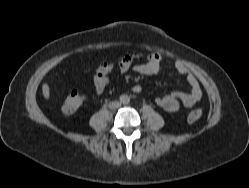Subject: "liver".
Segmentation results:
<instances>
[{
  "label": "liver",
  "mask_w": 249,
  "mask_h": 188,
  "mask_svg": "<svg viewBox=\"0 0 249 188\" xmlns=\"http://www.w3.org/2000/svg\"><path fill=\"white\" fill-rule=\"evenodd\" d=\"M42 93L45 99L49 100L50 99V88L47 83H44L42 85Z\"/></svg>",
  "instance_id": "liver-1"
}]
</instances>
